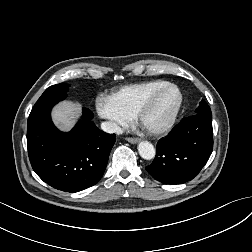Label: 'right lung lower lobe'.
Segmentation results:
<instances>
[{"label":"right lung lower lobe","mask_w":252,"mask_h":252,"mask_svg":"<svg viewBox=\"0 0 252 252\" xmlns=\"http://www.w3.org/2000/svg\"><path fill=\"white\" fill-rule=\"evenodd\" d=\"M52 107L28 118L27 146L33 170L48 185L65 192L93 186L107 166L115 134L99 130L87 108H83L82 120L63 133L51 120Z\"/></svg>","instance_id":"1"}]
</instances>
